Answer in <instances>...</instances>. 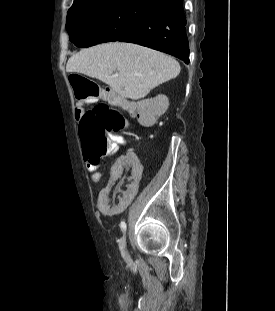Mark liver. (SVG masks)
Here are the masks:
<instances>
[{
  "label": "liver",
  "mask_w": 275,
  "mask_h": 311,
  "mask_svg": "<svg viewBox=\"0 0 275 311\" xmlns=\"http://www.w3.org/2000/svg\"><path fill=\"white\" fill-rule=\"evenodd\" d=\"M66 71L99 79L122 97L138 100L175 78L180 65L174 58L153 49L114 42L76 53L69 58Z\"/></svg>",
  "instance_id": "liver-1"
}]
</instances>
